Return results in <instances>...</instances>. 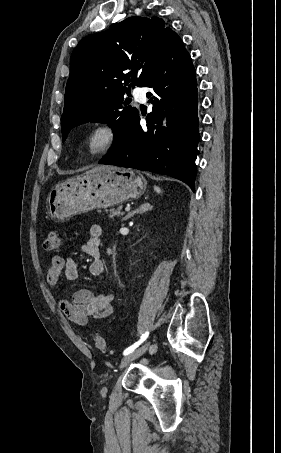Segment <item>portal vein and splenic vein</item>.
<instances>
[{
    "instance_id": "obj_1",
    "label": "portal vein and splenic vein",
    "mask_w": 281,
    "mask_h": 453,
    "mask_svg": "<svg viewBox=\"0 0 281 453\" xmlns=\"http://www.w3.org/2000/svg\"><path fill=\"white\" fill-rule=\"evenodd\" d=\"M131 210V205H127V207L124 208V211L127 213L131 212Z\"/></svg>"
}]
</instances>
